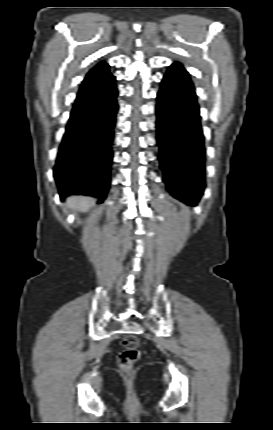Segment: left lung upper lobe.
<instances>
[{
	"mask_svg": "<svg viewBox=\"0 0 273 430\" xmlns=\"http://www.w3.org/2000/svg\"><path fill=\"white\" fill-rule=\"evenodd\" d=\"M171 68H179L180 70H185L182 66H181V64H179V63H173L170 67H169V69L168 70H170ZM186 71V70H185ZM188 74V73H187ZM187 84H188V86L189 87H191V88H194V86H193V84H192V82H191V80H190V77H189V75H187Z\"/></svg>",
	"mask_w": 273,
	"mask_h": 430,
	"instance_id": "5c2ea615",
	"label": "left lung upper lobe"
}]
</instances>
